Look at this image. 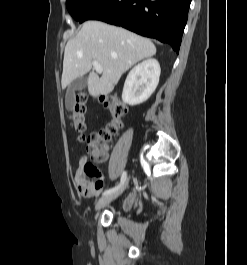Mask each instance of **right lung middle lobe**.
Listing matches in <instances>:
<instances>
[{
    "label": "right lung middle lobe",
    "instance_id": "right-lung-middle-lobe-1",
    "mask_svg": "<svg viewBox=\"0 0 247 265\" xmlns=\"http://www.w3.org/2000/svg\"><path fill=\"white\" fill-rule=\"evenodd\" d=\"M99 0H66V6L72 17L79 21L83 15Z\"/></svg>",
    "mask_w": 247,
    "mask_h": 265
}]
</instances>
